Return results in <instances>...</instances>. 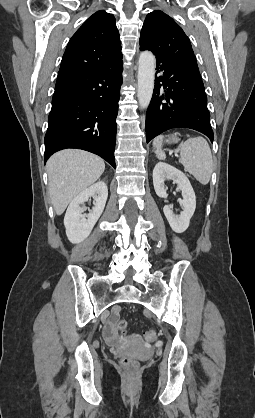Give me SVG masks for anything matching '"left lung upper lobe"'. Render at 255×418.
I'll use <instances>...</instances> for the list:
<instances>
[{"label": "left lung upper lobe", "mask_w": 255, "mask_h": 418, "mask_svg": "<svg viewBox=\"0 0 255 418\" xmlns=\"http://www.w3.org/2000/svg\"><path fill=\"white\" fill-rule=\"evenodd\" d=\"M140 49L159 56L194 55L189 38L182 28L162 11L149 13L140 35Z\"/></svg>", "instance_id": "5c2ea615"}]
</instances>
